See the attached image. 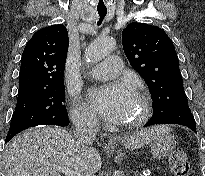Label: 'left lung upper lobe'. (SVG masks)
<instances>
[{
  "label": "left lung upper lobe",
  "mask_w": 205,
  "mask_h": 176,
  "mask_svg": "<svg viewBox=\"0 0 205 176\" xmlns=\"http://www.w3.org/2000/svg\"><path fill=\"white\" fill-rule=\"evenodd\" d=\"M124 52L131 66L146 81L153 98V113L187 98L172 40L161 28L130 23L122 32Z\"/></svg>",
  "instance_id": "1"
}]
</instances>
